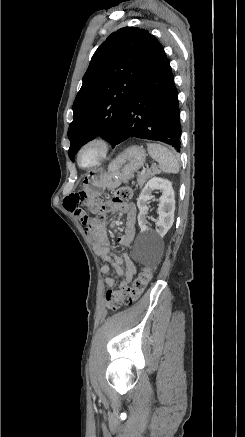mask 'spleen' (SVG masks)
Listing matches in <instances>:
<instances>
[{
    "label": "spleen",
    "instance_id": "1",
    "mask_svg": "<svg viewBox=\"0 0 245 437\" xmlns=\"http://www.w3.org/2000/svg\"><path fill=\"white\" fill-rule=\"evenodd\" d=\"M148 153L159 163V168L166 173H178L179 158L165 146L158 143H147Z\"/></svg>",
    "mask_w": 245,
    "mask_h": 437
}]
</instances>
